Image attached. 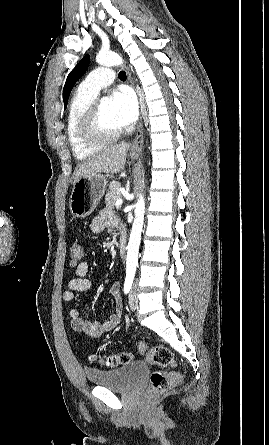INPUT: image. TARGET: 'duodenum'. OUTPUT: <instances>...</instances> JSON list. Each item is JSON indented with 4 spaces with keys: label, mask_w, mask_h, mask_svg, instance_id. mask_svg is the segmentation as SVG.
<instances>
[{
    "label": "duodenum",
    "mask_w": 269,
    "mask_h": 445,
    "mask_svg": "<svg viewBox=\"0 0 269 445\" xmlns=\"http://www.w3.org/2000/svg\"><path fill=\"white\" fill-rule=\"evenodd\" d=\"M118 251L120 256H125L126 254V237L121 234L120 236V240H119V245H118Z\"/></svg>",
    "instance_id": "1"
}]
</instances>
